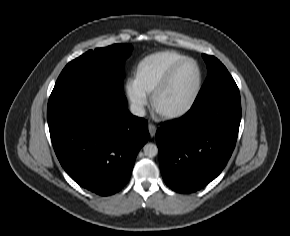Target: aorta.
Wrapping results in <instances>:
<instances>
[{"label":"aorta","instance_id":"762f6f07","mask_svg":"<svg viewBox=\"0 0 290 236\" xmlns=\"http://www.w3.org/2000/svg\"><path fill=\"white\" fill-rule=\"evenodd\" d=\"M144 154L148 157H155L158 154V147L153 143H147L143 147Z\"/></svg>","mask_w":290,"mask_h":236}]
</instances>
